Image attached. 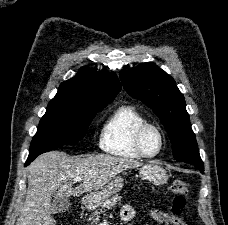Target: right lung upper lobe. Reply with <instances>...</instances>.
<instances>
[{
	"instance_id": "cb5924a9",
	"label": "right lung upper lobe",
	"mask_w": 228,
	"mask_h": 225,
	"mask_svg": "<svg viewBox=\"0 0 228 225\" xmlns=\"http://www.w3.org/2000/svg\"><path fill=\"white\" fill-rule=\"evenodd\" d=\"M120 89L115 73H93L89 68L83 67L77 76L60 85L53 100L107 105Z\"/></svg>"
}]
</instances>
